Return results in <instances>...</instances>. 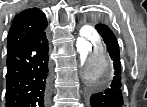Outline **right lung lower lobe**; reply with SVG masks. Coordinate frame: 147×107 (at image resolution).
<instances>
[{
  "instance_id": "right-lung-lower-lobe-1",
  "label": "right lung lower lobe",
  "mask_w": 147,
  "mask_h": 107,
  "mask_svg": "<svg viewBox=\"0 0 147 107\" xmlns=\"http://www.w3.org/2000/svg\"><path fill=\"white\" fill-rule=\"evenodd\" d=\"M48 60L45 31L8 50L6 107H45L49 91Z\"/></svg>"
}]
</instances>
